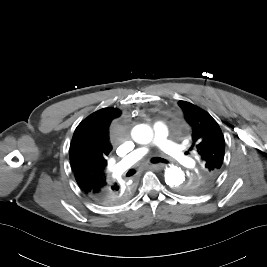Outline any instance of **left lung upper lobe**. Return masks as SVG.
I'll return each mask as SVG.
<instances>
[{
	"label": "left lung upper lobe",
	"instance_id": "1",
	"mask_svg": "<svg viewBox=\"0 0 267 267\" xmlns=\"http://www.w3.org/2000/svg\"><path fill=\"white\" fill-rule=\"evenodd\" d=\"M178 104L191 128L190 150L195 149L200 155L199 166L180 186V192L185 195L200 194L215 183L222 171L224 137L218 123L207 112L186 101Z\"/></svg>",
	"mask_w": 267,
	"mask_h": 267
}]
</instances>
